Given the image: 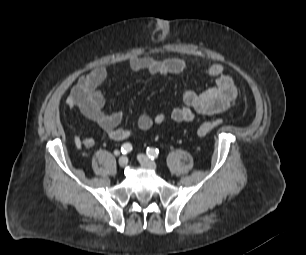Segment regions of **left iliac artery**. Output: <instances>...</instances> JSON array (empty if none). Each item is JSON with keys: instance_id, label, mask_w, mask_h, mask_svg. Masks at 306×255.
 <instances>
[{"instance_id": "44dca946", "label": "left iliac artery", "mask_w": 306, "mask_h": 255, "mask_svg": "<svg viewBox=\"0 0 306 255\" xmlns=\"http://www.w3.org/2000/svg\"><path fill=\"white\" fill-rule=\"evenodd\" d=\"M146 153L152 160L158 157L159 151L154 148H147Z\"/></svg>"}]
</instances>
